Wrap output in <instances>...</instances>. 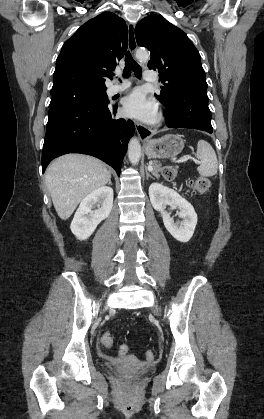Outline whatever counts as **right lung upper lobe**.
<instances>
[{
	"instance_id": "1",
	"label": "right lung upper lobe",
	"mask_w": 264,
	"mask_h": 419,
	"mask_svg": "<svg viewBox=\"0 0 264 419\" xmlns=\"http://www.w3.org/2000/svg\"><path fill=\"white\" fill-rule=\"evenodd\" d=\"M128 44L122 18L104 12L83 24L62 46L56 60L51 95L75 89H104Z\"/></svg>"
}]
</instances>
